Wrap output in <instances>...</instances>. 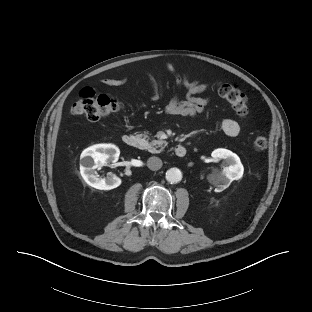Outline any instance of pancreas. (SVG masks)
I'll return each mask as SVG.
<instances>
[{
	"mask_svg": "<svg viewBox=\"0 0 312 312\" xmlns=\"http://www.w3.org/2000/svg\"><path fill=\"white\" fill-rule=\"evenodd\" d=\"M137 137L140 141V147L142 149L148 150L151 153H160L162 149L167 145V142L163 140H152L151 142H149L148 132L138 134Z\"/></svg>",
	"mask_w": 312,
	"mask_h": 312,
	"instance_id": "pancreas-1",
	"label": "pancreas"
}]
</instances>
